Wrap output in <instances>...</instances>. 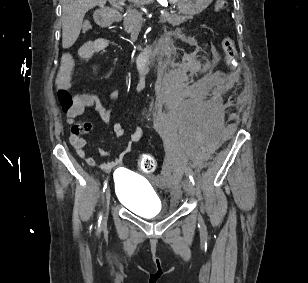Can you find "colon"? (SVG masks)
<instances>
[{
	"instance_id": "obj_1",
	"label": "colon",
	"mask_w": 308,
	"mask_h": 283,
	"mask_svg": "<svg viewBox=\"0 0 308 283\" xmlns=\"http://www.w3.org/2000/svg\"><path fill=\"white\" fill-rule=\"evenodd\" d=\"M227 7V0H216L215 10L217 12L224 11ZM92 26L89 22H84L82 26V31L87 33L91 30ZM223 51L225 56V62L227 65H231L236 57V47L233 39L229 36L225 37L223 40ZM58 100L60 105L65 111L70 110L74 106V98L68 92V90L60 89L58 91ZM91 129V126L86 121H77L71 127V132L73 135L80 137L81 135L87 134ZM157 162L156 159L150 154H142L138 159V167L144 173H151L156 169Z\"/></svg>"
}]
</instances>
